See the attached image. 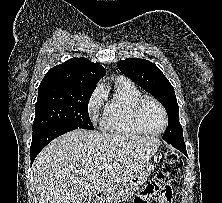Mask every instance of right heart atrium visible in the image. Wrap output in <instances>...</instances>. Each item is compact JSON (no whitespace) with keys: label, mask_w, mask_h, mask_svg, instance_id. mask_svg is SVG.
<instances>
[{"label":"right heart atrium","mask_w":222,"mask_h":203,"mask_svg":"<svg viewBox=\"0 0 222 203\" xmlns=\"http://www.w3.org/2000/svg\"><path fill=\"white\" fill-rule=\"evenodd\" d=\"M105 99L106 93L104 89L101 87L96 88L88 103V111L94 121L97 120L101 107L105 102Z\"/></svg>","instance_id":"obj_1"}]
</instances>
